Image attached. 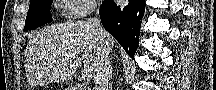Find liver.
Segmentation results:
<instances>
[{
    "label": "liver",
    "instance_id": "1",
    "mask_svg": "<svg viewBox=\"0 0 216 90\" xmlns=\"http://www.w3.org/2000/svg\"><path fill=\"white\" fill-rule=\"evenodd\" d=\"M109 36L108 44L114 48L116 40ZM100 40L90 22L69 20L58 26H47L33 34L26 50L27 64H39L46 80H71L80 68L92 76L91 70L99 60Z\"/></svg>",
    "mask_w": 216,
    "mask_h": 90
}]
</instances>
